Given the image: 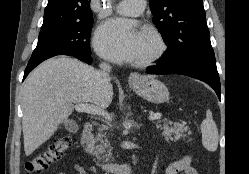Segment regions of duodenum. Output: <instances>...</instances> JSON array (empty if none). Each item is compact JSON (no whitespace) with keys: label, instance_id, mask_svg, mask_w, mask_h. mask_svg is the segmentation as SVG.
<instances>
[{"label":"duodenum","instance_id":"410a0bca","mask_svg":"<svg viewBox=\"0 0 249 174\" xmlns=\"http://www.w3.org/2000/svg\"><path fill=\"white\" fill-rule=\"evenodd\" d=\"M93 131L94 124L92 122H86L83 126V132L81 137V145L86 155L91 154V148L93 144ZM100 170L107 174H131L133 166L130 164H117L108 163L103 164Z\"/></svg>","mask_w":249,"mask_h":174}]
</instances>
